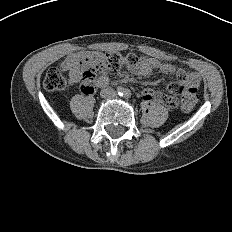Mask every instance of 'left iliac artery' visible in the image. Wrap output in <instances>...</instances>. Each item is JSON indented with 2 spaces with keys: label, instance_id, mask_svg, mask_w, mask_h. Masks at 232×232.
Returning <instances> with one entry per match:
<instances>
[{
  "label": "left iliac artery",
  "instance_id": "1",
  "mask_svg": "<svg viewBox=\"0 0 232 232\" xmlns=\"http://www.w3.org/2000/svg\"><path fill=\"white\" fill-rule=\"evenodd\" d=\"M124 95L126 98H129L131 96V92L129 90H126Z\"/></svg>",
  "mask_w": 232,
  "mask_h": 232
}]
</instances>
